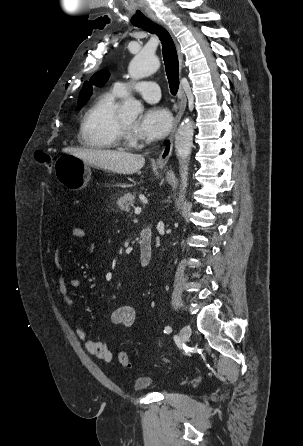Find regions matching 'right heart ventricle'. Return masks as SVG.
Instances as JSON below:
<instances>
[{
  "instance_id": "e07e8e85",
  "label": "right heart ventricle",
  "mask_w": 303,
  "mask_h": 446,
  "mask_svg": "<svg viewBox=\"0 0 303 446\" xmlns=\"http://www.w3.org/2000/svg\"><path fill=\"white\" fill-rule=\"evenodd\" d=\"M122 97L115 88L100 94L84 112L80 127L79 143L90 149H114L120 144L118 101Z\"/></svg>"
}]
</instances>
